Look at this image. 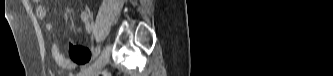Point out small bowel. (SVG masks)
<instances>
[{
  "label": "small bowel",
  "mask_w": 333,
  "mask_h": 76,
  "mask_svg": "<svg viewBox=\"0 0 333 76\" xmlns=\"http://www.w3.org/2000/svg\"><path fill=\"white\" fill-rule=\"evenodd\" d=\"M37 16L40 19L47 17V8L42 3H39L36 7ZM81 19L85 24V30L88 34L93 31V26L90 23V16L88 11L84 10L81 13ZM48 30H53L54 26L50 23L46 25ZM88 44H69V57L63 55L60 51L59 45L53 43L51 47V55L56 65L65 70H72L77 64H84L88 61L89 57L92 56V51L88 50Z\"/></svg>",
  "instance_id": "c3829d8e"
}]
</instances>
